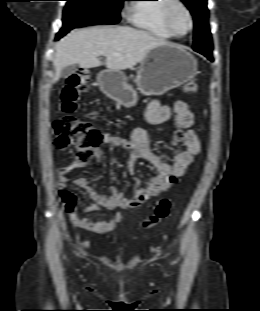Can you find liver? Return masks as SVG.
<instances>
[{"instance_id":"obj_1","label":"liver","mask_w":260,"mask_h":311,"mask_svg":"<svg viewBox=\"0 0 260 311\" xmlns=\"http://www.w3.org/2000/svg\"><path fill=\"white\" fill-rule=\"evenodd\" d=\"M165 44H168L165 40L127 26H96L71 31L56 45L54 82L59 80L64 67L75 64L82 68L101 66L100 56L106 57L105 65L110 70L132 68L151 49Z\"/></svg>"}]
</instances>
